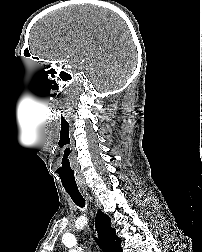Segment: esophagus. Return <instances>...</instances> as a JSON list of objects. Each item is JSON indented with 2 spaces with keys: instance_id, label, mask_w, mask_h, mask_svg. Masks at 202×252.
I'll list each match as a JSON object with an SVG mask.
<instances>
[{
  "instance_id": "esophagus-1",
  "label": "esophagus",
  "mask_w": 202,
  "mask_h": 252,
  "mask_svg": "<svg viewBox=\"0 0 202 252\" xmlns=\"http://www.w3.org/2000/svg\"><path fill=\"white\" fill-rule=\"evenodd\" d=\"M82 191H83V193L84 194H86V197L88 198V199H92L90 196H89V194L87 193V190H86V188H82Z\"/></svg>"
}]
</instances>
